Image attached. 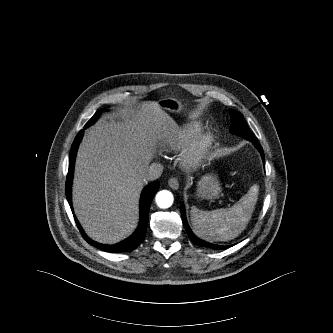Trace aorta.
I'll return each mask as SVG.
<instances>
[{
  "instance_id": "762f6f07",
  "label": "aorta",
  "mask_w": 333,
  "mask_h": 333,
  "mask_svg": "<svg viewBox=\"0 0 333 333\" xmlns=\"http://www.w3.org/2000/svg\"><path fill=\"white\" fill-rule=\"evenodd\" d=\"M156 203L160 208H169L173 204V194L168 190H162L156 195Z\"/></svg>"
}]
</instances>
